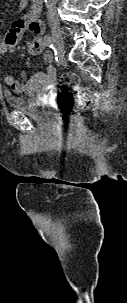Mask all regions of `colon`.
<instances>
[{
  "label": "colon",
  "instance_id": "1",
  "mask_svg": "<svg viewBox=\"0 0 127 303\" xmlns=\"http://www.w3.org/2000/svg\"><path fill=\"white\" fill-rule=\"evenodd\" d=\"M60 86L64 90L61 93V105L66 117L84 109L90 104V90L80 83L75 73H63L60 78Z\"/></svg>",
  "mask_w": 127,
  "mask_h": 303
}]
</instances>
